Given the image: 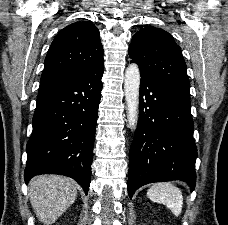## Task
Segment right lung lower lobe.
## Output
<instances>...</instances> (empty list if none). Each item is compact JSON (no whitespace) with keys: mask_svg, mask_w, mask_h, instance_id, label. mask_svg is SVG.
I'll list each match as a JSON object with an SVG mask.
<instances>
[{"mask_svg":"<svg viewBox=\"0 0 228 225\" xmlns=\"http://www.w3.org/2000/svg\"><path fill=\"white\" fill-rule=\"evenodd\" d=\"M103 70L104 61L80 74L40 84L26 147V183L38 174H62L88 192Z\"/></svg>","mask_w":228,"mask_h":225,"instance_id":"98d812e1","label":"right lung lower lobe"}]
</instances>
